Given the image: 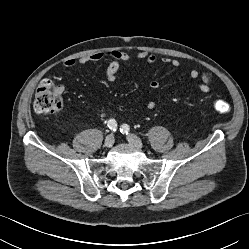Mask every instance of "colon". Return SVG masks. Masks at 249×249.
<instances>
[{
  "label": "colon",
  "mask_w": 249,
  "mask_h": 249,
  "mask_svg": "<svg viewBox=\"0 0 249 249\" xmlns=\"http://www.w3.org/2000/svg\"><path fill=\"white\" fill-rule=\"evenodd\" d=\"M61 88L50 79H43L35 93L33 108L37 113L56 114L63 108ZM213 108L219 113H227L230 110L229 104L224 100H215Z\"/></svg>",
  "instance_id": "1"
}]
</instances>
